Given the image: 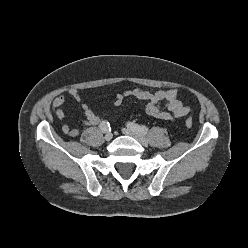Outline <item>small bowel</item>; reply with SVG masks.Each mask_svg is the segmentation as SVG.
Listing matches in <instances>:
<instances>
[{
	"instance_id": "c3829d8e",
	"label": "small bowel",
	"mask_w": 248,
	"mask_h": 248,
	"mask_svg": "<svg viewBox=\"0 0 248 248\" xmlns=\"http://www.w3.org/2000/svg\"><path fill=\"white\" fill-rule=\"evenodd\" d=\"M68 94L77 102L82 100L81 93L76 88L69 89ZM127 97H133L146 102L145 110L149 116L166 121L181 118L190 112V107L185 105L184 102L178 98V90L176 88L158 91L141 88L127 90L123 93L116 94L113 104L120 106ZM65 102L66 97L63 95L57 96L52 102V109L59 120L65 117V111L63 109ZM81 109L84 113L83 124L85 126H96L102 122L103 117L95 113L89 105L83 103L81 104ZM62 132L71 137L79 135V130L70 127L68 124L62 126Z\"/></svg>"
}]
</instances>
